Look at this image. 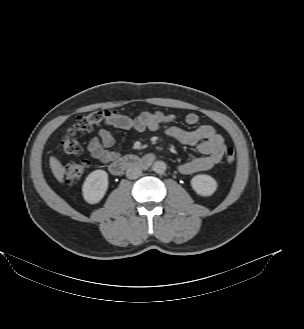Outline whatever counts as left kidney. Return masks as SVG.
<instances>
[{
  "mask_svg": "<svg viewBox=\"0 0 304 329\" xmlns=\"http://www.w3.org/2000/svg\"><path fill=\"white\" fill-rule=\"evenodd\" d=\"M193 190L201 196H211L217 189V181L206 174H199L191 179Z\"/></svg>",
  "mask_w": 304,
  "mask_h": 329,
  "instance_id": "5707ae66",
  "label": "left kidney"
}]
</instances>
